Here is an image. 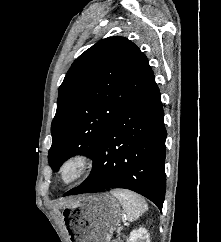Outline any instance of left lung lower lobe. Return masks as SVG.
<instances>
[{
	"label": "left lung lower lobe",
	"mask_w": 221,
	"mask_h": 242,
	"mask_svg": "<svg viewBox=\"0 0 221 242\" xmlns=\"http://www.w3.org/2000/svg\"><path fill=\"white\" fill-rule=\"evenodd\" d=\"M163 117L154 81L107 128L92 158L91 174L64 196L126 188L150 199L161 210L166 188Z\"/></svg>",
	"instance_id": "left-lung-lower-lobe-1"
}]
</instances>
